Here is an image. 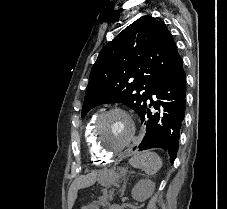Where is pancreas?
Segmentation results:
<instances>
[{
	"label": "pancreas",
	"instance_id": "pancreas-1",
	"mask_svg": "<svg viewBox=\"0 0 227 209\" xmlns=\"http://www.w3.org/2000/svg\"><path fill=\"white\" fill-rule=\"evenodd\" d=\"M111 205L109 203H105L102 206H91L88 209H108Z\"/></svg>",
	"mask_w": 227,
	"mask_h": 209
}]
</instances>
